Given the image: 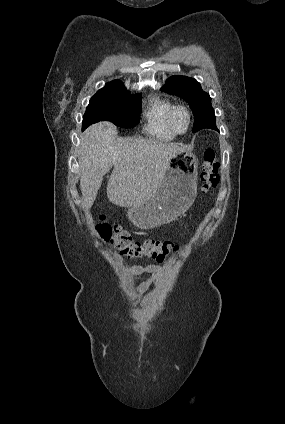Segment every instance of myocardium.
<instances>
[{
	"instance_id": "myocardium-1",
	"label": "myocardium",
	"mask_w": 285,
	"mask_h": 424,
	"mask_svg": "<svg viewBox=\"0 0 285 424\" xmlns=\"http://www.w3.org/2000/svg\"><path fill=\"white\" fill-rule=\"evenodd\" d=\"M178 111H184V112L186 113V115H187L188 123H187V127H186V129H185V130H179V129L176 127V124H175V115H176V113H177ZM191 122H192V115H191V111H190V109H189L187 106H185V105H183V104H176V105L172 108V110H171V112H170V116H169V123H170V126H171L172 130H173L176 134H184V133H186V132L190 129Z\"/></svg>"
}]
</instances>
